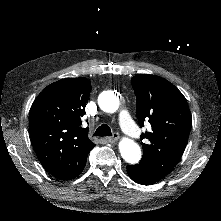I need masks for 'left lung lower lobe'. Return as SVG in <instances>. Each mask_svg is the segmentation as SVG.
Instances as JSON below:
<instances>
[{"label": "left lung lower lobe", "instance_id": "1", "mask_svg": "<svg viewBox=\"0 0 221 221\" xmlns=\"http://www.w3.org/2000/svg\"><path fill=\"white\" fill-rule=\"evenodd\" d=\"M127 171L133 181L142 185H151L165 176L143 161L136 165H128Z\"/></svg>", "mask_w": 221, "mask_h": 221}]
</instances>
